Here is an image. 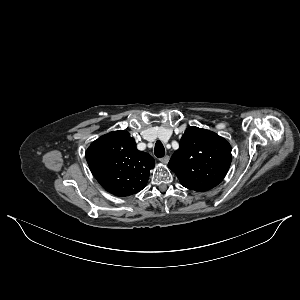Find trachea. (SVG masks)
<instances>
[{"instance_id":"3493384b","label":"trachea","mask_w":300,"mask_h":300,"mask_svg":"<svg viewBox=\"0 0 300 300\" xmlns=\"http://www.w3.org/2000/svg\"><path fill=\"white\" fill-rule=\"evenodd\" d=\"M154 153H155V156L158 158L164 157L165 149H164L163 144L160 141L156 142Z\"/></svg>"}]
</instances>
